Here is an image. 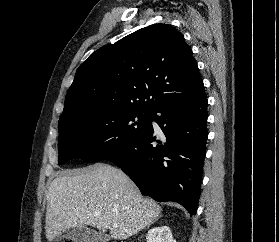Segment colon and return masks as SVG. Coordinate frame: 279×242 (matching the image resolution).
I'll return each instance as SVG.
<instances>
[{
	"label": "colon",
	"instance_id": "colon-1",
	"mask_svg": "<svg viewBox=\"0 0 279 242\" xmlns=\"http://www.w3.org/2000/svg\"><path fill=\"white\" fill-rule=\"evenodd\" d=\"M66 242H71V241H66ZM115 242H122V241L117 240V241H115Z\"/></svg>",
	"mask_w": 279,
	"mask_h": 242
}]
</instances>
